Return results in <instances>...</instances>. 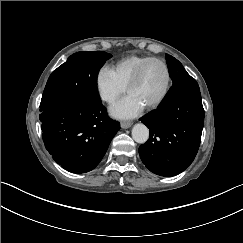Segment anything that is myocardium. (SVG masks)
Listing matches in <instances>:
<instances>
[{"mask_svg": "<svg viewBox=\"0 0 243 243\" xmlns=\"http://www.w3.org/2000/svg\"><path fill=\"white\" fill-rule=\"evenodd\" d=\"M153 61L159 62L160 64H162L164 66V68L167 72L168 81H167V86H166L163 94L157 100L145 105L146 108H149V109L156 108L159 105H161L166 100V98L168 97V95L171 91L172 85H173V74H172V71H171L169 64L165 60H163L159 57H151V58L143 61L138 66V68L136 69V71L131 76V78L129 79V81L127 82V84L125 86L126 92L128 93L129 89L139 80V78H140L144 68L146 67V65L149 64L150 62H153Z\"/></svg>", "mask_w": 243, "mask_h": 243, "instance_id": "myocardium-1", "label": "myocardium"}]
</instances>
